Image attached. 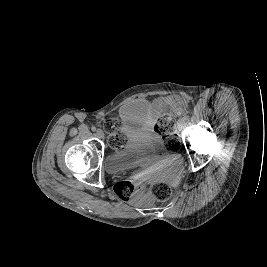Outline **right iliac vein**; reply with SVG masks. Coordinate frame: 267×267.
<instances>
[{"mask_svg": "<svg viewBox=\"0 0 267 267\" xmlns=\"http://www.w3.org/2000/svg\"><path fill=\"white\" fill-rule=\"evenodd\" d=\"M96 135L98 138H104V133L101 130H98Z\"/></svg>", "mask_w": 267, "mask_h": 267, "instance_id": "1", "label": "right iliac vein"}]
</instances>
